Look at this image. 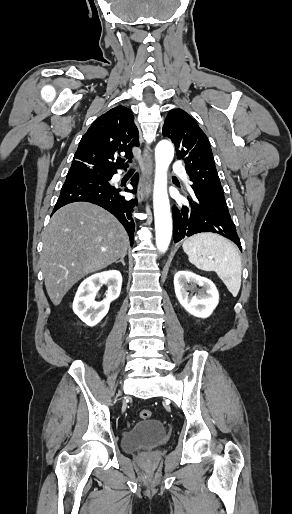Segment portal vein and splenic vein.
<instances>
[{"label":"portal vein and splenic vein","instance_id":"18ae733b","mask_svg":"<svg viewBox=\"0 0 292 514\" xmlns=\"http://www.w3.org/2000/svg\"><path fill=\"white\" fill-rule=\"evenodd\" d=\"M102 252H106V250H102Z\"/></svg>","mask_w":292,"mask_h":514}]
</instances>
